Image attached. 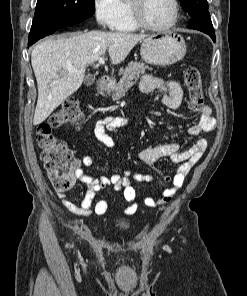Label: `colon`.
I'll use <instances>...</instances> for the list:
<instances>
[{
  "mask_svg": "<svg viewBox=\"0 0 247 296\" xmlns=\"http://www.w3.org/2000/svg\"><path fill=\"white\" fill-rule=\"evenodd\" d=\"M184 82L189 92V110L200 111L203 106V90L197 67L189 65L186 68ZM84 121V110L78 100L71 97L58 107L48 121L37 127L36 140L41 150V160L49 180L58 191H65L74 185L78 162L72 150L53 134V130L63 126L79 128Z\"/></svg>",
  "mask_w": 247,
  "mask_h": 296,
  "instance_id": "5ec220e1",
  "label": "colon"
}]
</instances>
